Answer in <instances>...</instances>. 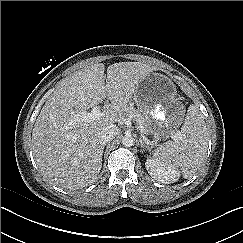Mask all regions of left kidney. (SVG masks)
Masks as SVG:
<instances>
[{"instance_id": "left-kidney-1", "label": "left kidney", "mask_w": 243, "mask_h": 243, "mask_svg": "<svg viewBox=\"0 0 243 243\" xmlns=\"http://www.w3.org/2000/svg\"><path fill=\"white\" fill-rule=\"evenodd\" d=\"M145 166L150 176L161 183H174L180 177L178 169L170 165H163L153 159H148Z\"/></svg>"}]
</instances>
